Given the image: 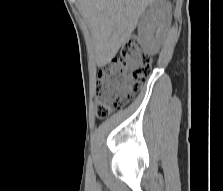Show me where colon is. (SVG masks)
I'll return each mask as SVG.
<instances>
[{"instance_id": "colon-1", "label": "colon", "mask_w": 223, "mask_h": 191, "mask_svg": "<svg viewBox=\"0 0 223 191\" xmlns=\"http://www.w3.org/2000/svg\"><path fill=\"white\" fill-rule=\"evenodd\" d=\"M152 70V57L134 39L128 40L120 57L104 67L96 84V115L108 117L140 91Z\"/></svg>"}]
</instances>
